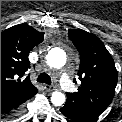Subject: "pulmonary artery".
I'll return each instance as SVG.
<instances>
[{
    "mask_svg": "<svg viewBox=\"0 0 122 122\" xmlns=\"http://www.w3.org/2000/svg\"><path fill=\"white\" fill-rule=\"evenodd\" d=\"M60 84L65 91H71L73 85L66 73H63L60 77Z\"/></svg>",
    "mask_w": 122,
    "mask_h": 122,
    "instance_id": "e3ab8cb5",
    "label": "pulmonary artery"
}]
</instances>
